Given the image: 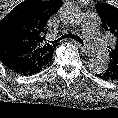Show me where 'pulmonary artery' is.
<instances>
[{
    "mask_svg": "<svg viewBox=\"0 0 118 118\" xmlns=\"http://www.w3.org/2000/svg\"><path fill=\"white\" fill-rule=\"evenodd\" d=\"M83 31L89 47L100 57L106 58L108 50L98 31V17L95 13H87L83 19Z\"/></svg>",
    "mask_w": 118,
    "mask_h": 118,
    "instance_id": "1",
    "label": "pulmonary artery"
}]
</instances>
